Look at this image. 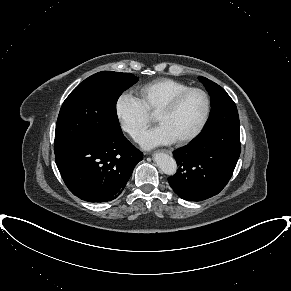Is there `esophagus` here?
Here are the masks:
<instances>
[{
	"label": "esophagus",
	"instance_id": "34e87169",
	"mask_svg": "<svg viewBox=\"0 0 291 291\" xmlns=\"http://www.w3.org/2000/svg\"><path fill=\"white\" fill-rule=\"evenodd\" d=\"M161 152L167 153V154H172V152L170 150L167 149H162Z\"/></svg>",
	"mask_w": 291,
	"mask_h": 291
}]
</instances>
